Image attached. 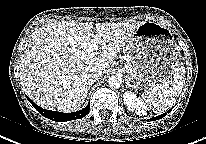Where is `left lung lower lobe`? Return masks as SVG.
Masks as SVG:
<instances>
[{
	"label": "left lung lower lobe",
	"instance_id": "0a47b994",
	"mask_svg": "<svg viewBox=\"0 0 206 144\" xmlns=\"http://www.w3.org/2000/svg\"><path fill=\"white\" fill-rule=\"evenodd\" d=\"M171 110H172V109L168 110V113H169ZM166 114H167V113H164V114H162V115H160V116L151 118V120H152V121H153V120H158V119H160V118H163Z\"/></svg>",
	"mask_w": 206,
	"mask_h": 144
}]
</instances>
